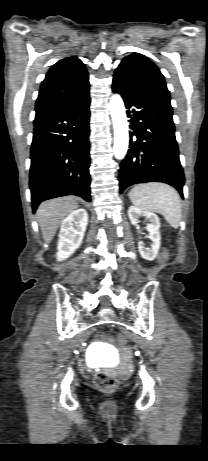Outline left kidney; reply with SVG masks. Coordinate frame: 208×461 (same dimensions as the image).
<instances>
[{"label":"left kidney","instance_id":"obj_1","mask_svg":"<svg viewBox=\"0 0 208 461\" xmlns=\"http://www.w3.org/2000/svg\"><path fill=\"white\" fill-rule=\"evenodd\" d=\"M128 216L133 225H137L139 223V218L141 216H145L149 220V224H147V230L150 234V239L152 241L151 248H145V245L142 241L138 243V249L140 255L143 259L151 261L154 260L158 254L160 248V219L159 217L150 211H144L137 207L130 206L128 209Z\"/></svg>","mask_w":208,"mask_h":461}]
</instances>
